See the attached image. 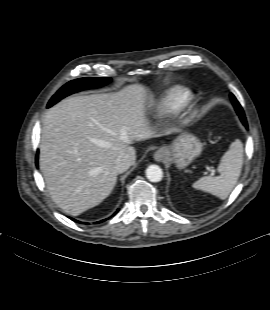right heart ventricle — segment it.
<instances>
[{
    "instance_id": "right-heart-ventricle-1",
    "label": "right heart ventricle",
    "mask_w": 270,
    "mask_h": 310,
    "mask_svg": "<svg viewBox=\"0 0 270 310\" xmlns=\"http://www.w3.org/2000/svg\"><path fill=\"white\" fill-rule=\"evenodd\" d=\"M190 89L183 86H174L161 93L153 103V111L160 116L178 112L192 99Z\"/></svg>"
}]
</instances>
